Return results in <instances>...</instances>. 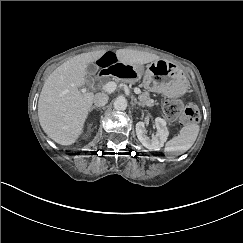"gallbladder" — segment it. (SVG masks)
<instances>
[{
	"instance_id": "gallbladder-1",
	"label": "gallbladder",
	"mask_w": 243,
	"mask_h": 243,
	"mask_svg": "<svg viewBox=\"0 0 243 243\" xmlns=\"http://www.w3.org/2000/svg\"><path fill=\"white\" fill-rule=\"evenodd\" d=\"M99 70V67L94 64H88L87 68H86V73L89 74L90 76L95 75L97 73V71Z\"/></svg>"
}]
</instances>
